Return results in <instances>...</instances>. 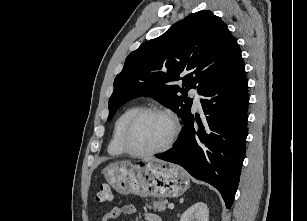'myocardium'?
Wrapping results in <instances>:
<instances>
[{
	"label": "myocardium",
	"mask_w": 307,
	"mask_h": 221,
	"mask_svg": "<svg viewBox=\"0 0 307 221\" xmlns=\"http://www.w3.org/2000/svg\"><path fill=\"white\" fill-rule=\"evenodd\" d=\"M148 114H160L170 119L172 123V132L167 141L160 147L153 149V150H140L135 148L131 143V134L136 126V124L146 115ZM180 132V123L177 118V116L171 112L168 109L162 108V107H156V106H150V107H143L140 110H138L135 114L131 116V118L127 121V123L124 126V129L122 131L121 135V144L124 148V150L132 155L136 156H152L157 155L160 153H163L167 151L175 140L177 139Z\"/></svg>",
	"instance_id": "f54148a6"
}]
</instances>
